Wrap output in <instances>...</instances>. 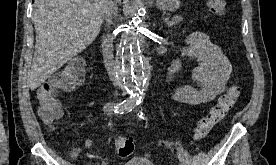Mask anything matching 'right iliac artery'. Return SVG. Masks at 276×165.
Wrapping results in <instances>:
<instances>
[{
  "label": "right iliac artery",
  "instance_id": "right-iliac-artery-1",
  "mask_svg": "<svg viewBox=\"0 0 276 165\" xmlns=\"http://www.w3.org/2000/svg\"><path fill=\"white\" fill-rule=\"evenodd\" d=\"M137 105L135 100H125L121 104L115 105L114 103H106L103 110L107 115L111 114H124L131 112L132 109Z\"/></svg>",
  "mask_w": 276,
  "mask_h": 165
}]
</instances>
